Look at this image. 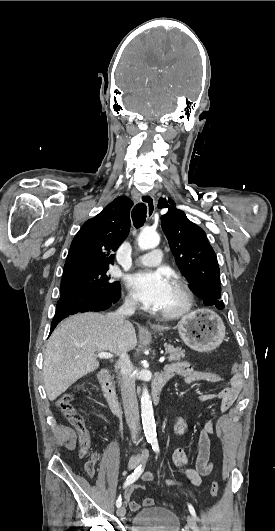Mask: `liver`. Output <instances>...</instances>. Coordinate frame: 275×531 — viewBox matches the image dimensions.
<instances>
[{
  "label": "liver",
  "mask_w": 275,
  "mask_h": 531,
  "mask_svg": "<svg viewBox=\"0 0 275 531\" xmlns=\"http://www.w3.org/2000/svg\"><path fill=\"white\" fill-rule=\"evenodd\" d=\"M108 315L78 313L60 323L46 347L43 379L49 401H55L83 375L99 367L95 353L132 351L136 333L129 321L119 327Z\"/></svg>",
  "instance_id": "1"
}]
</instances>
